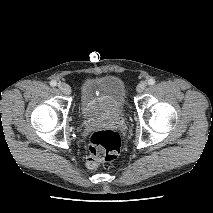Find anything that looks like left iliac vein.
Instances as JSON below:
<instances>
[{
  "instance_id": "1",
  "label": "left iliac vein",
  "mask_w": 213,
  "mask_h": 213,
  "mask_svg": "<svg viewBox=\"0 0 213 213\" xmlns=\"http://www.w3.org/2000/svg\"><path fill=\"white\" fill-rule=\"evenodd\" d=\"M146 86H147V82H146V81H142V82H140V83L137 85L136 91H137L138 93H141V92L144 91V89L146 88Z\"/></svg>"
}]
</instances>
